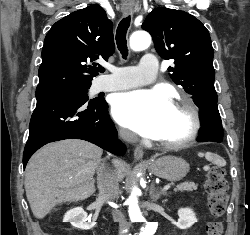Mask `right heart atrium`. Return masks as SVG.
<instances>
[{"label": "right heart atrium", "mask_w": 250, "mask_h": 235, "mask_svg": "<svg viewBox=\"0 0 250 235\" xmlns=\"http://www.w3.org/2000/svg\"><path fill=\"white\" fill-rule=\"evenodd\" d=\"M119 136L123 140H131L132 139V135L125 129H119Z\"/></svg>", "instance_id": "d8ad5b80"}]
</instances>
